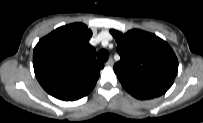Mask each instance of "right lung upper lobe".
Segmentation results:
<instances>
[{
  "label": "right lung upper lobe",
  "mask_w": 203,
  "mask_h": 123,
  "mask_svg": "<svg viewBox=\"0 0 203 123\" xmlns=\"http://www.w3.org/2000/svg\"><path fill=\"white\" fill-rule=\"evenodd\" d=\"M91 36L85 24L73 23L57 28L35 46V76L53 97L76 99L94 88L104 65L96 60Z\"/></svg>",
  "instance_id": "right-lung-upper-lobe-1"
}]
</instances>
